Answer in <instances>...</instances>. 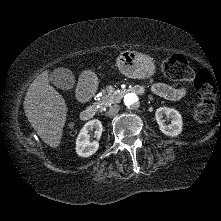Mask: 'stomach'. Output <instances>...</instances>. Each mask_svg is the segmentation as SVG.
Masks as SVG:
<instances>
[{
	"label": "stomach",
	"instance_id": "obj_1",
	"mask_svg": "<svg viewBox=\"0 0 221 221\" xmlns=\"http://www.w3.org/2000/svg\"><path fill=\"white\" fill-rule=\"evenodd\" d=\"M117 65L121 73L133 79L150 78L155 74L153 59L136 51H124L118 58Z\"/></svg>",
	"mask_w": 221,
	"mask_h": 221
}]
</instances>
